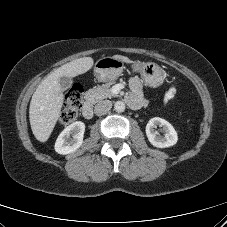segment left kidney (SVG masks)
<instances>
[{
    "label": "left kidney",
    "instance_id": "left-kidney-1",
    "mask_svg": "<svg viewBox=\"0 0 227 227\" xmlns=\"http://www.w3.org/2000/svg\"><path fill=\"white\" fill-rule=\"evenodd\" d=\"M160 126L163 128L164 136L158 135L155 128ZM146 135L149 142L157 148H167L173 146L178 141L177 132L174 127L166 120L154 117L149 120L146 125Z\"/></svg>",
    "mask_w": 227,
    "mask_h": 227
}]
</instances>
